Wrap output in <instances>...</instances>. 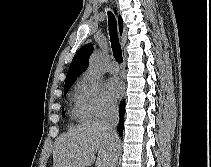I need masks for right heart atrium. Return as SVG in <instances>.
Segmentation results:
<instances>
[{
    "label": "right heart atrium",
    "mask_w": 211,
    "mask_h": 167,
    "mask_svg": "<svg viewBox=\"0 0 211 167\" xmlns=\"http://www.w3.org/2000/svg\"><path fill=\"white\" fill-rule=\"evenodd\" d=\"M81 105L91 118H102L115 111V103L105 93L101 80L92 73H85L78 83Z\"/></svg>",
    "instance_id": "d8ad5b80"
}]
</instances>
